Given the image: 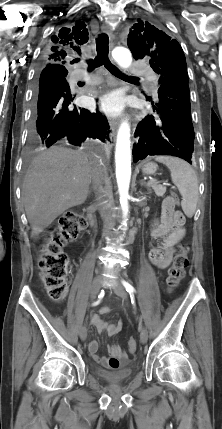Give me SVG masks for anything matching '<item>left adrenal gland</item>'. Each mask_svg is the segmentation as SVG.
I'll use <instances>...</instances> for the list:
<instances>
[{
  "label": "left adrenal gland",
  "mask_w": 222,
  "mask_h": 429,
  "mask_svg": "<svg viewBox=\"0 0 222 429\" xmlns=\"http://www.w3.org/2000/svg\"><path fill=\"white\" fill-rule=\"evenodd\" d=\"M140 185L141 186H146L148 188V190H150L149 186L146 184V182L144 180H140Z\"/></svg>",
  "instance_id": "obj_1"
}]
</instances>
